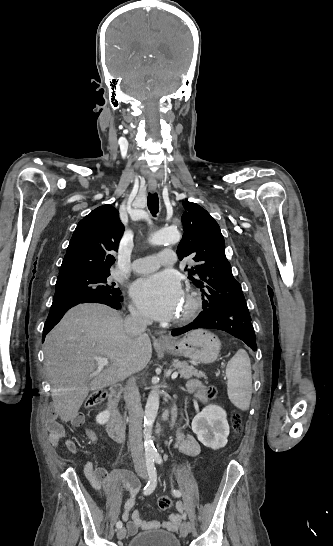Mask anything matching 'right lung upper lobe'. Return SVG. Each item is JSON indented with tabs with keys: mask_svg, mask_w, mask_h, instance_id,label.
Wrapping results in <instances>:
<instances>
[{
	"mask_svg": "<svg viewBox=\"0 0 333 546\" xmlns=\"http://www.w3.org/2000/svg\"><path fill=\"white\" fill-rule=\"evenodd\" d=\"M124 226L119 212L103 205L84 217L77 225L63 259L59 276L80 272H110Z\"/></svg>",
	"mask_w": 333,
	"mask_h": 546,
	"instance_id": "cb5924a9",
	"label": "right lung upper lobe"
}]
</instances>
